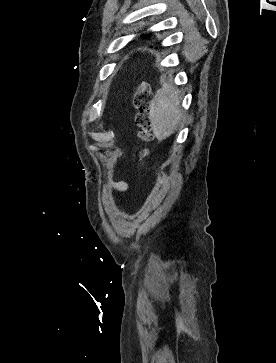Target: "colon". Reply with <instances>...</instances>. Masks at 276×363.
Returning a JSON list of instances; mask_svg holds the SVG:
<instances>
[{"mask_svg": "<svg viewBox=\"0 0 276 363\" xmlns=\"http://www.w3.org/2000/svg\"><path fill=\"white\" fill-rule=\"evenodd\" d=\"M151 102L152 92L150 86L146 82L139 83L134 93V106L137 110L136 124L140 129V145L137 150V157L140 161L148 155L146 143L152 139Z\"/></svg>", "mask_w": 276, "mask_h": 363, "instance_id": "colon-1", "label": "colon"}]
</instances>
